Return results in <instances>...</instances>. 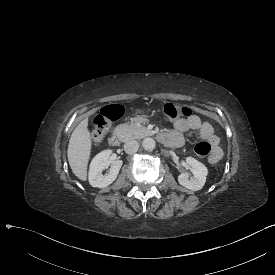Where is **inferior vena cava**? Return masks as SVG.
Returning <instances> with one entry per match:
<instances>
[{
    "label": "inferior vena cava",
    "instance_id": "1",
    "mask_svg": "<svg viewBox=\"0 0 275 275\" xmlns=\"http://www.w3.org/2000/svg\"><path fill=\"white\" fill-rule=\"evenodd\" d=\"M139 148V143L136 140H129L124 144V150L128 154L136 153Z\"/></svg>",
    "mask_w": 275,
    "mask_h": 275
}]
</instances>
